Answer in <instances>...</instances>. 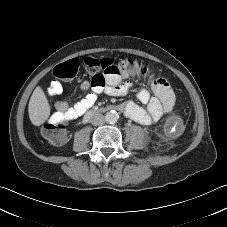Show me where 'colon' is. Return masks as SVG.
Masks as SVG:
<instances>
[{"instance_id": "1", "label": "colon", "mask_w": 227, "mask_h": 227, "mask_svg": "<svg viewBox=\"0 0 227 227\" xmlns=\"http://www.w3.org/2000/svg\"><path fill=\"white\" fill-rule=\"evenodd\" d=\"M82 64L85 69L92 74L94 85H102L105 82V75H120L128 71L142 68L136 61L124 59L100 58L92 55H87L83 58ZM81 65L79 59H71L66 63L60 64L53 69V85L55 88L61 87L62 80L73 78ZM68 117L66 114L59 116V119L46 124L43 130V135L51 141H62L65 138L64 128Z\"/></svg>"}]
</instances>
